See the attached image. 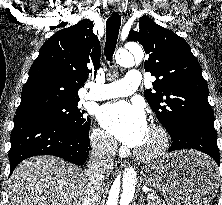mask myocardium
<instances>
[{
	"label": "myocardium",
	"instance_id": "1",
	"mask_svg": "<svg viewBox=\"0 0 222 205\" xmlns=\"http://www.w3.org/2000/svg\"><path fill=\"white\" fill-rule=\"evenodd\" d=\"M150 128L158 135V143L149 151L134 150L135 157L142 161H153L161 157L169 147L170 138L165 127L160 123L152 122Z\"/></svg>",
	"mask_w": 222,
	"mask_h": 205
}]
</instances>
